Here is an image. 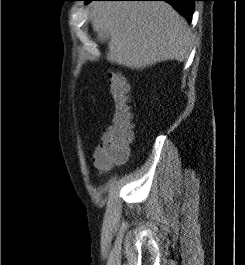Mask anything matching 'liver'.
Segmentation results:
<instances>
[{"mask_svg":"<svg viewBox=\"0 0 245 265\" xmlns=\"http://www.w3.org/2000/svg\"><path fill=\"white\" fill-rule=\"evenodd\" d=\"M95 31L110 36L111 62L144 69L162 61L189 56L191 31L171 5L161 1H95L91 3Z\"/></svg>","mask_w":245,"mask_h":265,"instance_id":"1","label":"liver"}]
</instances>
